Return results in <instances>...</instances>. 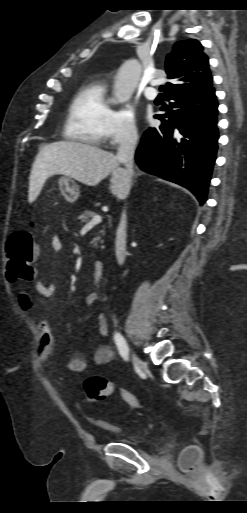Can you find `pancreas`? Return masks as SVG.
<instances>
[{
    "label": "pancreas",
    "mask_w": 247,
    "mask_h": 513,
    "mask_svg": "<svg viewBox=\"0 0 247 513\" xmlns=\"http://www.w3.org/2000/svg\"><path fill=\"white\" fill-rule=\"evenodd\" d=\"M95 215H97L96 212H94L92 210H85L83 213H81L78 216V220L81 223H88L90 221V218H92ZM99 233H101L102 235H105V229L103 228L102 230H100ZM99 238H100L99 236H96L94 240H98Z\"/></svg>",
    "instance_id": "pancreas-1"
}]
</instances>
